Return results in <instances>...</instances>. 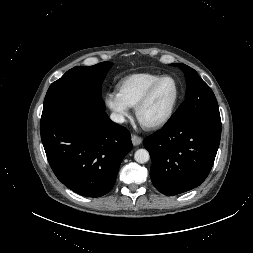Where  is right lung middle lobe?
Returning a JSON list of instances; mask_svg holds the SVG:
<instances>
[{"instance_id":"obj_1","label":"right lung middle lobe","mask_w":253,"mask_h":253,"mask_svg":"<svg viewBox=\"0 0 253 253\" xmlns=\"http://www.w3.org/2000/svg\"><path fill=\"white\" fill-rule=\"evenodd\" d=\"M112 62L77 66L53 82L45 96L42 117L69 106L103 105L101 86Z\"/></svg>"}]
</instances>
